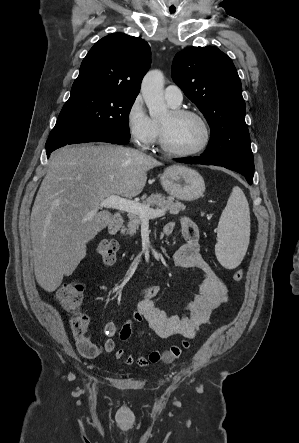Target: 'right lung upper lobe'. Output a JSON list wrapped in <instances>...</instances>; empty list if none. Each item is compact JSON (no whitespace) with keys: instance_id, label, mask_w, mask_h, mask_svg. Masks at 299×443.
I'll use <instances>...</instances> for the list:
<instances>
[{"instance_id":"obj_1","label":"right lung upper lobe","mask_w":299,"mask_h":443,"mask_svg":"<svg viewBox=\"0 0 299 443\" xmlns=\"http://www.w3.org/2000/svg\"><path fill=\"white\" fill-rule=\"evenodd\" d=\"M150 63V47L140 37L107 35L83 59L72 90L99 89L136 97Z\"/></svg>"}]
</instances>
